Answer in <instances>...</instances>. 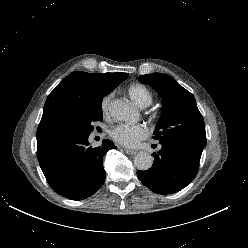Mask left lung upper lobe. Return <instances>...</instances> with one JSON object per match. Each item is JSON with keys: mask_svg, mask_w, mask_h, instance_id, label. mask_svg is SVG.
Wrapping results in <instances>:
<instances>
[{"mask_svg": "<svg viewBox=\"0 0 248 248\" xmlns=\"http://www.w3.org/2000/svg\"><path fill=\"white\" fill-rule=\"evenodd\" d=\"M138 80L153 87L162 98L163 109L153 138L160 144L181 146L201 158L207 140L204 120L194 96L163 73L141 75Z\"/></svg>", "mask_w": 248, "mask_h": 248, "instance_id": "1", "label": "left lung upper lobe"}]
</instances>
